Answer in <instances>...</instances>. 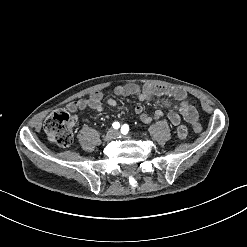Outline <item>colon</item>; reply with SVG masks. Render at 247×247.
Masks as SVG:
<instances>
[{
    "label": "colon",
    "mask_w": 247,
    "mask_h": 247,
    "mask_svg": "<svg viewBox=\"0 0 247 247\" xmlns=\"http://www.w3.org/2000/svg\"><path fill=\"white\" fill-rule=\"evenodd\" d=\"M193 128L197 133L202 131L201 124ZM43 129L48 140L59 147H67L73 140L71 116L65 111L50 114L43 123Z\"/></svg>",
    "instance_id": "obj_1"
}]
</instances>
